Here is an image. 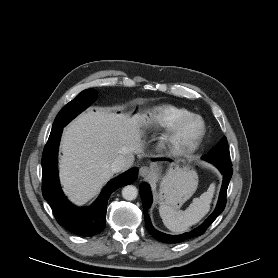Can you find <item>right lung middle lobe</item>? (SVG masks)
<instances>
[{"mask_svg": "<svg viewBox=\"0 0 278 278\" xmlns=\"http://www.w3.org/2000/svg\"><path fill=\"white\" fill-rule=\"evenodd\" d=\"M97 98V91L94 89L84 90L79 93L72 101L65 105L58 113L52 130H58L63 128L73 118H75L80 112L86 109Z\"/></svg>", "mask_w": 278, "mask_h": 278, "instance_id": "1", "label": "right lung middle lobe"}]
</instances>
